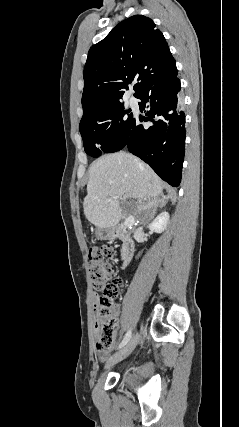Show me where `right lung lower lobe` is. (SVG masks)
I'll use <instances>...</instances> for the list:
<instances>
[{
	"instance_id": "98d812e1",
	"label": "right lung lower lobe",
	"mask_w": 239,
	"mask_h": 427,
	"mask_svg": "<svg viewBox=\"0 0 239 427\" xmlns=\"http://www.w3.org/2000/svg\"><path fill=\"white\" fill-rule=\"evenodd\" d=\"M177 74L144 89L136 97L140 99V110L147 108L148 118H133L127 141L121 148H128L174 187L181 182L185 153V115ZM142 121H150L151 125L143 126Z\"/></svg>"
}]
</instances>
